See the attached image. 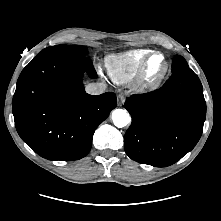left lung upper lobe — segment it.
Returning a JSON list of instances; mask_svg holds the SVG:
<instances>
[{
	"label": "left lung upper lobe",
	"instance_id": "5c2ea615",
	"mask_svg": "<svg viewBox=\"0 0 221 221\" xmlns=\"http://www.w3.org/2000/svg\"><path fill=\"white\" fill-rule=\"evenodd\" d=\"M184 68H189L185 59L181 56H175L172 63V73L177 72Z\"/></svg>",
	"mask_w": 221,
	"mask_h": 221
}]
</instances>
